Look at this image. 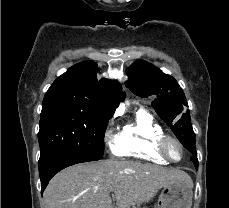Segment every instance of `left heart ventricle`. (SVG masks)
Returning a JSON list of instances; mask_svg holds the SVG:
<instances>
[{
    "instance_id": "obj_1",
    "label": "left heart ventricle",
    "mask_w": 229,
    "mask_h": 208,
    "mask_svg": "<svg viewBox=\"0 0 229 208\" xmlns=\"http://www.w3.org/2000/svg\"><path fill=\"white\" fill-rule=\"evenodd\" d=\"M172 148H173V154L175 158H179L181 156V149L179 148V146L173 143Z\"/></svg>"
}]
</instances>
